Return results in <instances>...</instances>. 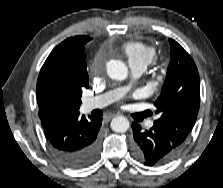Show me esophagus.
I'll return each instance as SVG.
<instances>
[{"label": "esophagus", "instance_id": "esophagus-1", "mask_svg": "<svg viewBox=\"0 0 223 188\" xmlns=\"http://www.w3.org/2000/svg\"><path fill=\"white\" fill-rule=\"evenodd\" d=\"M113 116L114 115H111V116L107 117L106 121H110Z\"/></svg>", "mask_w": 223, "mask_h": 188}]
</instances>
